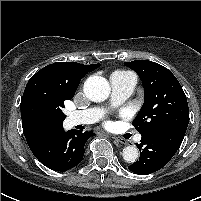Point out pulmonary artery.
Segmentation results:
<instances>
[{
    "mask_svg": "<svg viewBox=\"0 0 201 201\" xmlns=\"http://www.w3.org/2000/svg\"><path fill=\"white\" fill-rule=\"evenodd\" d=\"M110 83L112 88L111 104L118 106L131 97L137 83V78L132 73L115 72L110 77ZM104 112L102 108H89L70 112L66 118V122L69 126L91 124L98 121ZM136 139L139 141L141 136L138 135Z\"/></svg>",
    "mask_w": 201,
    "mask_h": 201,
    "instance_id": "e3ab8cb5",
    "label": "pulmonary artery"
}]
</instances>
